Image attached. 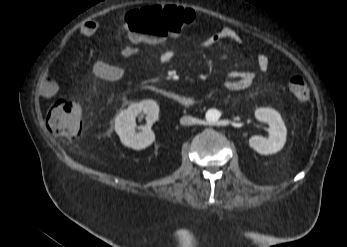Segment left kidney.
Wrapping results in <instances>:
<instances>
[{
	"instance_id": "left-kidney-1",
	"label": "left kidney",
	"mask_w": 347,
	"mask_h": 247,
	"mask_svg": "<svg viewBox=\"0 0 347 247\" xmlns=\"http://www.w3.org/2000/svg\"><path fill=\"white\" fill-rule=\"evenodd\" d=\"M255 117L261 122L269 125V136H252L249 139V145L258 153L269 155L280 151L285 142L287 129L281 118V115L274 109L259 108L255 111Z\"/></svg>"
}]
</instances>
